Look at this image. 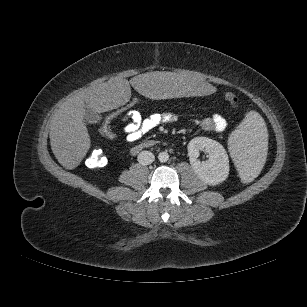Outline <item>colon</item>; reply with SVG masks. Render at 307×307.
<instances>
[{"instance_id": "1", "label": "colon", "mask_w": 307, "mask_h": 307, "mask_svg": "<svg viewBox=\"0 0 307 307\" xmlns=\"http://www.w3.org/2000/svg\"><path fill=\"white\" fill-rule=\"evenodd\" d=\"M226 98L232 106L239 107L240 101L238 97H236L234 94L227 93ZM140 103V98L132 97L122 105L107 112L102 118V121L99 126V132L101 133V135L106 138H113L115 136L113 124L118 120L123 121L124 119H126L132 111L136 110V107ZM85 163L89 168H101L107 164V158L101 149L93 148L87 153Z\"/></svg>"}]
</instances>
